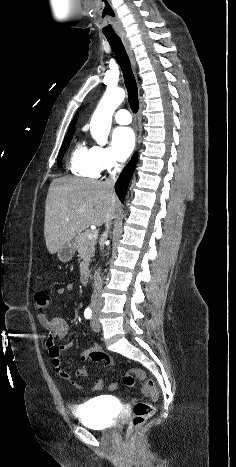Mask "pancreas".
<instances>
[{"instance_id": "cf45deb5", "label": "pancreas", "mask_w": 236, "mask_h": 467, "mask_svg": "<svg viewBox=\"0 0 236 467\" xmlns=\"http://www.w3.org/2000/svg\"><path fill=\"white\" fill-rule=\"evenodd\" d=\"M89 232L78 234L74 239V245L77 249L82 262L80 263V273L83 275L87 273L89 262L95 253L96 238L88 239Z\"/></svg>"}]
</instances>
